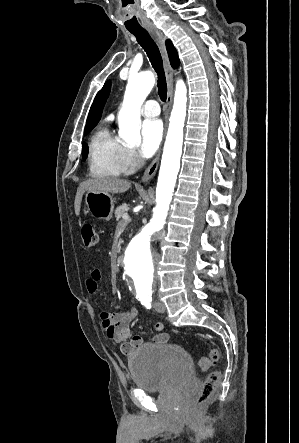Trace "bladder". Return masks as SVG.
Wrapping results in <instances>:
<instances>
[{
    "label": "bladder",
    "mask_w": 299,
    "mask_h": 443,
    "mask_svg": "<svg viewBox=\"0 0 299 443\" xmlns=\"http://www.w3.org/2000/svg\"><path fill=\"white\" fill-rule=\"evenodd\" d=\"M127 364L134 384L145 391L162 390L193 378L191 356L172 343L143 346L130 356Z\"/></svg>",
    "instance_id": "bladder-1"
}]
</instances>
